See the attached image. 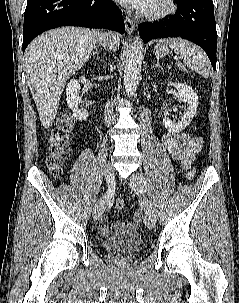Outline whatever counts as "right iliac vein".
Returning <instances> with one entry per match:
<instances>
[{"mask_svg":"<svg viewBox=\"0 0 239 303\" xmlns=\"http://www.w3.org/2000/svg\"><path fill=\"white\" fill-rule=\"evenodd\" d=\"M110 171H114V168L112 166V164H108L104 170V176L106 179V182L108 183V185H110V180L114 179V176H110L108 173ZM110 179V180H109ZM106 209V200L105 199H101L95 206L94 210H93V218L95 220H98L104 213Z\"/></svg>","mask_w":239,"mask_h":303,"instance_id":"1","label":"right iliac vein"}]
</instances>
